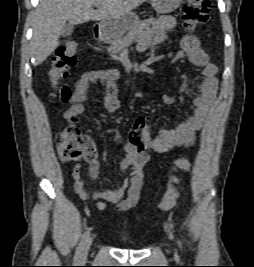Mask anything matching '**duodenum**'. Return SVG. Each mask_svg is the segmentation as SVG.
I'll return each instance as SVG.
<instances>
[{
    "instance_id": "duodenum-1",
    "label": "duodenum",
    "mask_w": 254,
    "mask_h": 267,
    "mask_svg": "<svg viewBox=\"0 0 254 267\" xmlns=\"http://www.w3.org/2000/svg\"><path fill=\"white\" fill-rule=\"evenodd\" d=\"M96 35H97V36H100V35H101V29H100V27H98V28L96 29Z\"/></svg>"
}]
</instances>
